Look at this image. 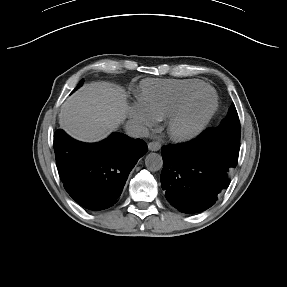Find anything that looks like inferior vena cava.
Instances as JSON below:
<instances>
[{"label": "inferior vena cava", "instance_id": "obj_1", "mask_svg": "<svg viewBox=\"0 0 287 287\" xmlns=\"http://www.w3.org/2000/svg\"><path fill=\"white\" fill-rule=\"evenodd\" d=\"M124 127L129 137L143 138L149 136L148 128L137 120H128Z\"/></svg>", "mask_w": 287, "mask_h": 287}]
</instances>
